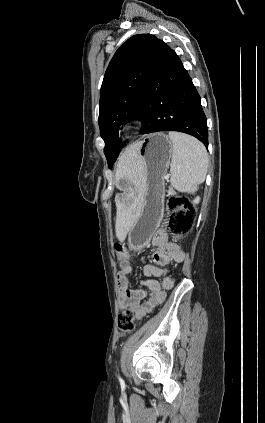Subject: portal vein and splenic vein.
I'll list each match as a JSON object with an SVG mask.
<instances>
[{
  "label": "portal vein and splenic vein",
  "mask_w": 265,
  "mask_h": 423,
  "mask_svg": "<svg viewBox=\"0 0 265 423\" xmlns=\"http://www.w3.org/2000/svg\"><path fill=\"white\" fill-rule=\"evenodd\" d=\"M165 179H166V180H168V179H169V177H168V176H166V177H165Z\"/></svg>",
  "instance_id": "1"
}]
</instances>
